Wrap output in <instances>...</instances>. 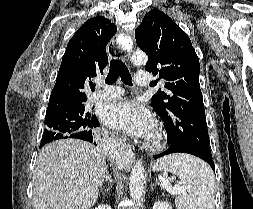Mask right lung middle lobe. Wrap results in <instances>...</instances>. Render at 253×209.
Segmentation results:
<instances>
[{"label": "right lung middle lobe", "mask_w": 253, "mask_h": 209, "mask_svg": "<svg viewBox=\"0 0 253 209\" xmlns=\"http://www.w3.org/2000/svg\"><path fill=\"white\" fill-rule=\"evenodd\" d=\"M46 116V129L40 146L73 133L89 130L96 121V116L85 104L57 108L47 112Z\"/></svg>", "instance_id": "dd1d6c3e"}]
</instances>
